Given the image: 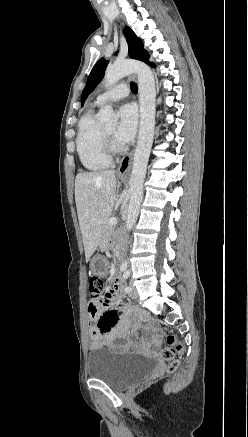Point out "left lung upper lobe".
Returning <instances> with one entry per match:
<instances>
[{"label": "left lung upper lobe", "instance_id": "1", "mask_svg": "<svg viewBox=\"0 0 248 437\" xmlns=\"http://www.w3.org/2000/svg\"><path fill=\"white\" fill-rule=\"evenodd\" d=\"M124 35L126 36V40L129 47V56L133 59L141 60L147 64H150L152 67H155L153 63H150L148 61L149 54L143 48V42L135 35V33L129 27H126L124 29ZM107 65H108V61L105 60L104 58H101L94 65L82 93V97H81L82 104L86 100L87 96L95 89V87L102 80Z\"/></svg>", "mask_w": 248, "mask_h": 437}]
</instances>
